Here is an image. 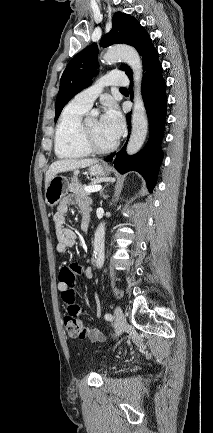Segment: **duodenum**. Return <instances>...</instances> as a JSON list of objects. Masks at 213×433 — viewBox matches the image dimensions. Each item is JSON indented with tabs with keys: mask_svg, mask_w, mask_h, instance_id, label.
Wrapping results in <instances>:
<instances>
[{
	"mask_svg": "<svg viewBox=\"0 0 213 433\" xmlns=\"http://www.w3.org/2000/svg\"><path fill=\"white\" fill-rule=\"evenodd\" d=\"M88 230H89V228H88V227L84 229V231H85V232H87Z\"/></svg>",
	"mask_w": 213,
	"mask_h": 433,
	"instance_id": "410a0bca",
	"label": "duodenum"
}]
</instances>
